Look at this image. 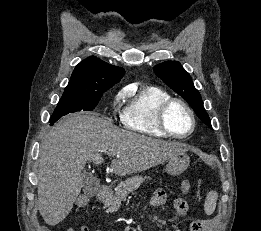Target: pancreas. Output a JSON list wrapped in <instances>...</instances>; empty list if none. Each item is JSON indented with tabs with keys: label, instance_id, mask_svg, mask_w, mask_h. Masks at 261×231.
I'll use <instances>...</instances> for the list:
<instances>
[{
	"label": "pancreas",
	"instance_id": "1",
	"mask_svg": "<svg viewBox=\"0 0 261 231\" xmlns=\"http://www.w3.org/2000/svg\"><path fill=\"white\" fill-rule=\"evenodd\" d=\"M145 179L143 176L136 175L124 182H120L115 189V193L108 196L104 201L106 211L110 213L118 211L122 201H125L131 192L138 189Z\"/></svg>",
	"mask_w": 261,
	"mask_h": 231
}]
</instances>
